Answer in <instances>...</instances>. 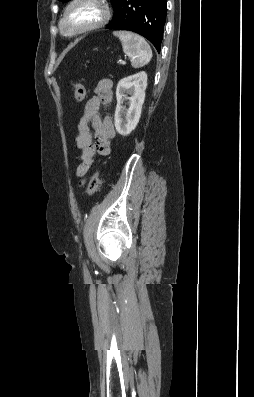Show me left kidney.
Returning a JSON list of instances; mask_svg holds the SVG:
<instances>
[{
	"label": "left kidney",
	"mask_w": 254,
	"mask_h": 397,
	"mask_svg": "<svg viewBox=\"0 0 254 397\" xmlns=\"http://www.w3.org/2000/svg\"><path fill=\"white\" fill-rule=\"evenodd\" d=\"M146 87L147 74L144 71L119 81L116 89L117 106L114 123L120 135H129L137 126L145 99ZM124 101H127V107L122 106Z\"/></svg>",
	"instance_id": "left-kidney-1"
}]
</instances>
